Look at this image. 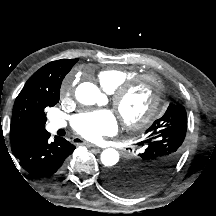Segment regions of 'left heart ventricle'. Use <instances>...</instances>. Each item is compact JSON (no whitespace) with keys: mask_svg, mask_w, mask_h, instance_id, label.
Returning a JSON list of instances; mask_svg holds the SVG:
<instances>
[{"mask_svg":"<svg viewBox=\"0 0 216 216\" xmlns=\"http://www.w3.org/2000/svg\"><path fill=\"white\" fill-rule=\"evenodd\" d=\"M153 96L152 87L142 82L132 89L123 99L121 110L127 118H137L147 109Z\"/></svg>","mask_w":216,"mask_h":216,"instance_id":"1","label":"left heart ventricle"}]
</instances>
